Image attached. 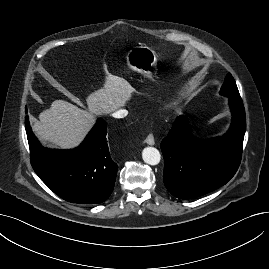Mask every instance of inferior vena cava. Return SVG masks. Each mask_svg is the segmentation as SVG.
<instances>
[{
  "label": "inferior vena cava",
  "instance_id": "inferior-vena-cava-1",
  "mask_svg": "<svg viewBox=\"0 0 269 269\" xmlns=\"http://www.w3.org/2000/svg\"><path fill=\"white\" fill-rule=\"evenodd\" d=\"M128 115V111L125 109H120L113 113V117L115 118H124Z\"/></svg>",
  "mask_w": 269,
  "mask_h": 269
}]
</instances>
